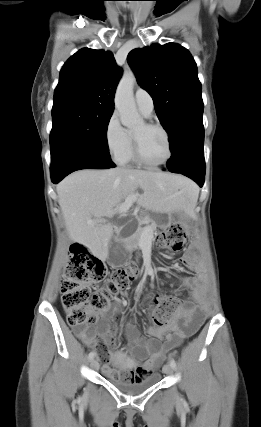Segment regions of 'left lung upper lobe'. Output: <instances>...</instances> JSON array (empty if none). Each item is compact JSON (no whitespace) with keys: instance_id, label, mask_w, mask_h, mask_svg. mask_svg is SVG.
Here are the masks:
<instances>
[{"instance_id":"5c2ea615","label":"left lung upper lobe","mask_w":261,"mask_h":427,"mask_svg":"<svg viewBox=\"0 0 261 427\" xmlns=\"http://www.w3.org/2000/svg\"><path fill=\"white\" fill-rule=\"evenodd\" d=\"M138 84L153 98L156 114L170 139L192 121H202L204 104L196 63L176 43L137 48L128 55Z\"/></svg>"}]
</instances>
